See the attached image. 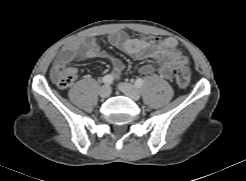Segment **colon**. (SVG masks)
<instances>
[{
  "label": "colon",
  "instance_id": "5ec220e1",
  "mask_svg": "<svg viewBox=\"0 0 246 181\" xmlns=\"http://www.w3.org/2000/svg\"><path fill=\"white\" fill-rule=\"evenodd\" d=\"M76 72L73 68L65 65H58L52 69L51 80L60 87L71 86L75 81ZM191 79V70L186 63H181L175 70V80L179 87L185 88L189 85Z\"/></svg>",
  "mask_w": 246,
  "mask_h": 181
}]
</instances>
